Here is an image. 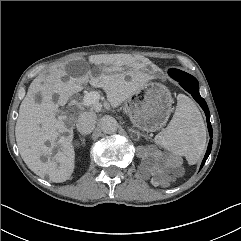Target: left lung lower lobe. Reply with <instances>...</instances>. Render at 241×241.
Returning a JSON list of instances; mask_svg holds the SVG:
<instances>
[{"instance_id":"0a47b994","label":"left lung lower lobe","mask_w":241,"mask_h":241,"mask_svg":"<svg viewBox=\"0 0 241 241\" xmlns=\"http://www.w3.org/2000/svg\"><path fill=\"white\" fill-rule=\"evenodd\" d=\"M170 76L179 81V84L186 90L188 91L189 93H191V95L193 96V98L200 104V106L202 107V109L204 110L205 112V115H206V118H207V124H208V130H209V135L210 137H212V127H211V123H210V113H209V109H208V106L205 102V100L200 96L199 94V88H198V82L197 80L183 72V71H180V70H176V71H170ZM211 148H212V139H210L209 141V145H208V149H207V152L205 154V157L202 161V164H201V168L203 167V165L205 164L210 152H211Z\"/></svg>"}]
</instances>
